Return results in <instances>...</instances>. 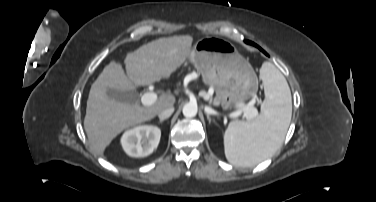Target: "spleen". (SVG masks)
<instances>
[{"label": "spleen", "mask_w": 376, "mask_h": 202, "mask_svg": "<svg viewBox=\"0 0 376 202\" xmlns=\"http://www.w3.org/2000/svg\"><path fill=\"white\" fill-rule=\"evenodd\" d=\"M265 100L252 121H232L224 133L227 160L237 166H253L272 156L281 146L292 116L288 83L271 62L260 69Z\"/></svg>", "instance_id": "1"}]
</instances>
